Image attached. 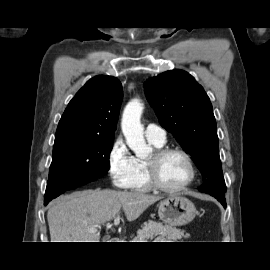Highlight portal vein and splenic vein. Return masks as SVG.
<instances>
[{
	"label": "portal vein and splenic vein",
	"instance_id": "1",
	"mask_svg": "<svg viewBox=\"0 0 270 270\" xmlns=\"http://www.w3.org/2000/svg\"><path fill=\"white\" fill-rule=\"evenodd\" d=\"M119 223H120L119 216L114 217V225L117 226V225H119ZM93 231H96V229H93Z\"/></svg>",
	"mask_w": 270,
	"mask_h": 270
}]
</instances>
